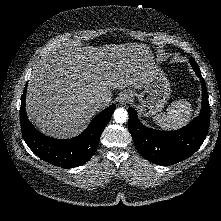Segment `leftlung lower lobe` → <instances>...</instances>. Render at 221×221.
<instances>
[{"instance_id":"obj_1","label":"left lung lower lobe","mask_w":221,"mask_h":221,"mask_svg":"<svg viewBox=\"0 0 221 221\" xmlns=\"http://www.w3.org/2000/svg\"><path fill=\"white\" fill-rule=\"evenodd\" d=\"M202 83V110L190 124L175 131H159L144 126L133 108L128 109L129 132L140 154L146 160L168 166L195 153L204 142L210 121L206 84L200 70H194Z\"/></svg>"}]
</instances>
